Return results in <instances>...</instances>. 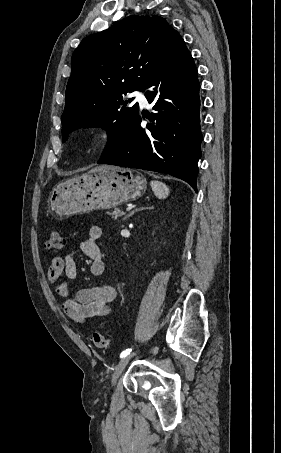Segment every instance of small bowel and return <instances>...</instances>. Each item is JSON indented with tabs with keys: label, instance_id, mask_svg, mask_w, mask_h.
Segmentation results:
<instances>
[{
	"label": "small bowel",
	"instance_id": "c3829d8e",
	"mask_svg": "<svg viewBox=\"0 0 281 453\" xmlns=\"http://www.w3.org/2000/svg\"><path fill=\"white\" fill-rule=\"evenodd\" d=\"M102 232L100 226H92L88 236L80 244L81 251L91 260L88 272L94 277H101L105 273L103 254L98 244ZM62 272L70 279L77 276L76 262L71 255H54L46 273L48 282L55 286L60 295L66 296L69 293V286L66 281L61 279ZM116 299L117 293L111 287H86L77 290L74 297L66 300L61 306L69 318L75 323L83 325L91 318L104 316Z\"/></svg>",
	"mask_w": 281,
	"mask_h": 453
}]
</instances>
